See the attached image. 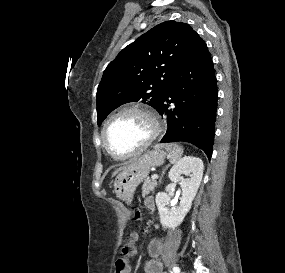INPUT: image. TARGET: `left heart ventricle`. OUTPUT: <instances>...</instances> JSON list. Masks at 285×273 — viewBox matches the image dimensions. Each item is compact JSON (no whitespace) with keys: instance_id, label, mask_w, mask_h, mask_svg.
Masks as SVG:
<instances>
[{"instance_id":"b2bd125f","label":"left heart ventricle","mask_w":285,"mask_h":273,"mask_svg":"<svg viewBox=\"0 0 285 273\" xmlns=\"http://www.w3.org/2000/svg\"><path fill=\"white\" fill-rule=\"evenodd\" d=\"M151 134L146 117L125 113L112 121L107 131V143L117 153L125 154L138 148Z\"/></svg>"}]
</instances>
